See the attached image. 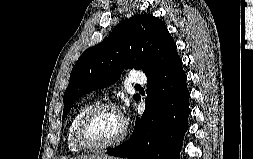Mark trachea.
Returning <instances> with one entry per match:
<instances>
[{
	"mask_svg": "<svg viewBox=\"0 0 253 159\" xmlns=\"http://www.w3.org/2000/svg\"><path fill=\"white\" fill-rule=\"evenodd\" d=\"M135 87H136V88H141V86H139V85H138V86L136 85Z\"/></svg>",
	"mask_w": 253,
	"mask_h": 159,
	"instance_id": "obj_1",
	"label": "trachea"
}]
</instances>
